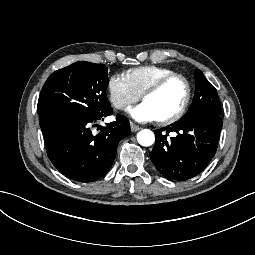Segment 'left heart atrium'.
<instances>
[{"mask_svg":"<svg viewBox=\"0 0 255 255\" xmlns=\"http://www.w3.org/2000/svg\"><path fill=\"white\" fill-rule=\"evenodd\" d=\"M148 112H149L148 109L143 107L138 111V115L141 117H145L148 114Z\"/></svg>","mask_w":255,"mask_h":255,"instance_id":"39dd6f15","label":"left heart atrium"}]
</instances>
